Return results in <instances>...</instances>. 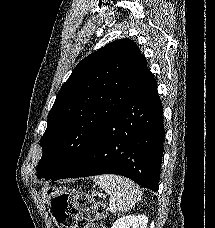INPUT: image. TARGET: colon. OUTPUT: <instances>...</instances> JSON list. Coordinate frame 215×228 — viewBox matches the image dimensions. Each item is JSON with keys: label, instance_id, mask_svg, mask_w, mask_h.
Wrapping results in <instances>:
<instances>
[{"label": "colon", "instance_id": "colon-1", "mask_svg": "<svg viewBox=\"0 0 215 228\" xmlns=\"http://www.w3.org/2000/svg\"><path fill=\"white\" fill-rule=\"evenodd\" d=\"M51 206L54 218L63 228H99L107 216L106 204L88 194H79L75 199L60 194L51 200ZM80 212H86L89 219Z\"/></svg>", "mask_w": 215, "mask_h": 228}]
</instances>
